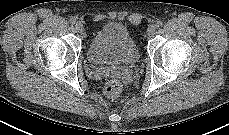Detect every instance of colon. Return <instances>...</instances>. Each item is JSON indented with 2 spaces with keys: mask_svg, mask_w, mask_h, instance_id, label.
<instances>
[{
  "mask_svg": "<svg viewBox=\"0 0 229 135\" xmlns=\"http://www.w3.org/2000/svg\"><path fill=\"white\" fill-rule=\"evenodd\" d=\"M121 83L118 80H112L104 87L103 94L109 99L117 97L121 92Z\"/></svg>",
  "mask_w": 229,
  "mask_h": 135,
  "instance_id": "5ec220e1",
  "label": "colon"
}]
</instances>
